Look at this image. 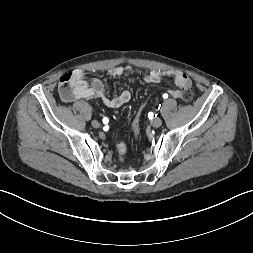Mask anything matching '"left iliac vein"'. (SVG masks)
I'll use <instances>...</instances> for the list:
<instances>
[{
	"label": "left iliac vein",
	"instance_id": "left-iliac-vein-1",
	"mask_svg": "<svg viewBox=\"0 0 253 253\" xmlns=\"http://www.w3.org/2000/svg\"><path fill=\"white\" fill-rule=\"evenodd\" d=\"M151 125L154 127V128H158L162 125V119L161 118H154L151 122Z\"/></svg>",
	"mask_w": 253,
	"mask_h": 253
}]
</instances>
